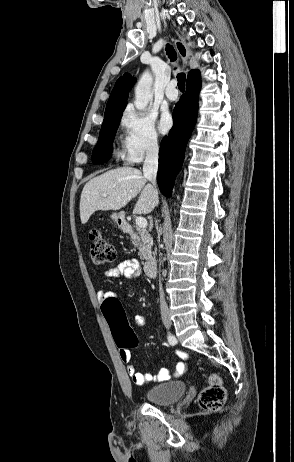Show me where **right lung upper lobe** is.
<instances>
[{"label": "right lung upper lobe", "mask_w": 294, "mask_h": 462, "mask_svg": "<svg viewBox=\"0 0 294 462\" xmlns=\"http://www.w3.org/2000/svg\"><path fill=\"white\" fill-rule=\"evenodd\" d=\"M198 74V70H192L188 73L187 79H190ZM134 82L135 79H133L129 74H125L117 80L111 92L110 98L108 99L104 118L121 114L123 112L127 104L126 100L128 98V92Z\"/></svg>", "instance_id": "1"}]
</instances>
